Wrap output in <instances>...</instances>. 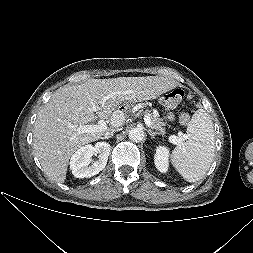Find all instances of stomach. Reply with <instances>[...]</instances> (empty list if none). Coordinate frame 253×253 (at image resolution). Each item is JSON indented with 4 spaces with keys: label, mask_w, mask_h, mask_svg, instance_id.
I'll use <instances>...</instances> for the list:
<instances>
[{
    "label": "stomach",
    "mask_w": 253,
    "mask_h": 253,
    "mask_svg": "<svg viewBox=\"0 0 253 253\" xmlns=\"http://www.w3.org/2000/svg\"><path fill=\"white\" fill-rule=\"evenodd\" d=\"M168 94L161 97V103L165 106L167 104ZM118 109L121 114H126L132 110V102L128 98H123L118 104Z\"/></svg>",
    "instance_id": "0dacf381"
}]
</instances>
